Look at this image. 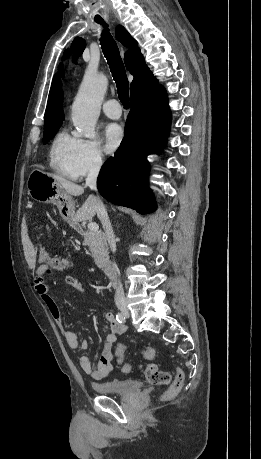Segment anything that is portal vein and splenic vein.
Masks as SVG:
<instances>
[{
  "mask_svg": "<svg viewBox=\"0 0 261 459\" xmlns=\"http://www.w3.org/2000/svg\"><path fill=\"white\" fill-rule=\"evenodd\" d=\"M87 227L93 232H98L99 230V226L96 223H89Z\"/></svg>",
  "mask_w": 261,
  "mask_h": 459,
  "instance_id": "18ae733b",
  "label": "portal vein and splenic vein"
}]
</instances>
